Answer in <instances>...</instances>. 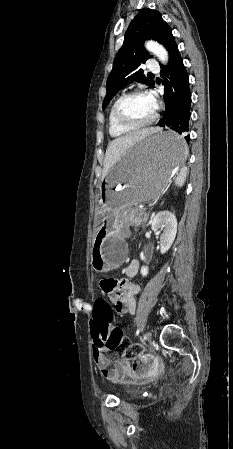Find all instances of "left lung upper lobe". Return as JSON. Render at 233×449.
<instances>
[{"label": "left lung upper lobe", "mask_w": 233, "mask_h": 449, "mask_svg": "<svg viewBox=\"0 0 233 449\" xmlns=\"http://www.w3.org/2000/svg\"><path fill=\"white\" fill-rule=\"evenodd\" d=\"M149 39L163 44L170 56L177 48L172 30L162 19L161 14L156 10L144 8L131 21L123 45L114 60L113 69L106 82L107 93L103 101V110L122 87L133 81L154 86V82L150 81L140 69L141 63L150 58L144 48V42Z\"/></svg>", "instance_id": "left-lung-upper-lobe-1"}]
</instances>
